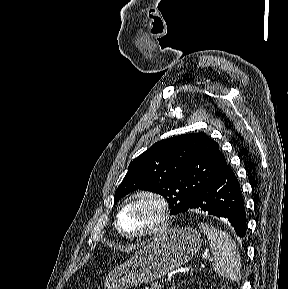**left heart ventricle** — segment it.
<instances>
[{
	"instance_id": "b2bd125f",
	"label": "left heart ventricle",
	"mask_w": 288,
	"mask_h": 289,
	"mask_svg": "<svg viewBox=\"0 0 288 289\" xmlns=\"http://www.w3.org/2000/svg\"><path fill=\"white\" fill-rule=\"evenodd\" d=\"M159 217V208L150 199L140 198L129 203L120 214V225L129 233L150 228Z\"/></svg>"
}]
</instances>
